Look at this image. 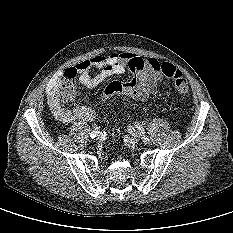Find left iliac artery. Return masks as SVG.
<instances>
[{"instance_id": "obj_1", "label": "left iliac artery", "mask_w": 233, "mask_h": 233, "mask_svg": "<svg viewBox=\"0 0 233 233\" xmlns=\"http://www.w3.org/2000/svg\"><path fill=\"white\" fill-rule=\"evenodd\" d=\"M136 126H137V128L141 131L140 134H141V136H142L143 141L146 142V143H149L150 140H149V138L145 135L144 129H142V127L139 125V123H138ZM130 128H133V127H132V126H128V130H129Z\"/></svg>"}]
</instances>
